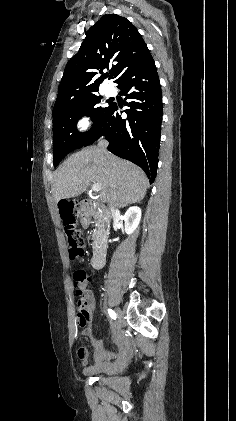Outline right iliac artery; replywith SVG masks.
Segmentation results:
<instances>
[{
  "mask_svg": "<svg viewBox=\"0 0 236 421\" xmlns=\"http://www.w3.org/2000/svg\"><path fill=\"white\" fill-rule=\"evenodd\" d=\"M108 313L112 319H116V313L112 309H108Z\"/></svg>",
  "mask_w": 236,
  "mask_h": 421,
  "instance_id": "right-iliac-artery-1",
  "label": "right iliac artery"
}]
</instances>
